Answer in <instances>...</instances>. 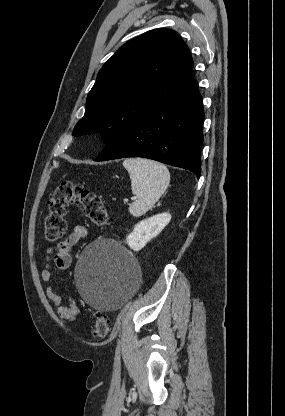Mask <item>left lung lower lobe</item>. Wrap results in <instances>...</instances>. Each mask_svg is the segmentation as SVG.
Listing matches in <instances>:
<instances>
[{"label": "left lung lower lobe", "mask_w": 285, "mask_h": 416, "mask_svg": "<svg viewBox=\"0 0 285 416\" xmlns=\"http://www.w3.org/2000/svg\"><path fill=\"white\" fill-rule=\"evenodd\" d=\"M203 120L202 96L193 79L168 102L114 137L95 161L144 157L185 168L199 177Z\"/></svg>", "instance_id": "1"}]
</instances>
